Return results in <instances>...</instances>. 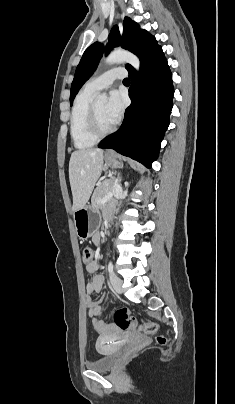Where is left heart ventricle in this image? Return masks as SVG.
Instances as JSON below:
<instances>
[{
    "label": "left heart ventricle",
    "mask_w": 235,
    "mask_h": 404,
    "mask_svg": "<svg viewBox=\"0 0 235 404\" xmlns=\"http://www.w3.org/2000/svg\"><path fill=\"white\" fill-rule=\"evenodd\" d=\"M94 108L97 114L100 128L102 130H105L110 126H112V123L108 120V118L105 115V103L104 102L97 103L94 105Z\"/></svg>",
    "instance_id": "1"
}]
</instances>
